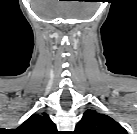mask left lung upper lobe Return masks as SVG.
I'll list each match as a JSON object with an SVG mask.
<instances>
[{
    "instance_id": "5c2ea615",
    "label": "left lung upper lobe",
    "mask_w": 137,
    "mask_h": 134,
    "mask_svg": "<svg viewBox=\"0 0 137 134\" xmlns=\"http://www.w3.org/2000/svg\"><path fill=\"white\" fill-rule=\"evenodd\" d=\"M74 134H127V131L108 115L88 109L77 123Z\"/></svg>"
}]
</instances>
